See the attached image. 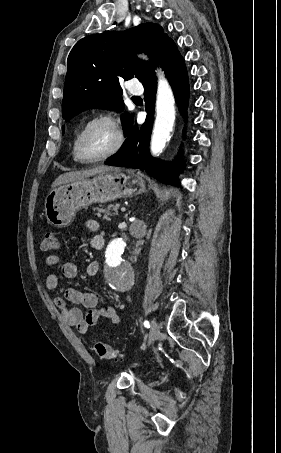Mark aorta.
<instances>
[{
    "label": "aorta",
    "instance_id": "1",
    "mask_svg": "<svg viewBox=\"0 0 281 453\" xmlns=\"http://www.w3.org/2000/svg\"><path fill=\"white\" fill-rule=\"evenodd\" d=\"M175 99L172 89L164 76L158 80L156 96V118L154 122L150 150L155 156L162 153L166 142L170 140V133L175 122ZM141 229L138 227L131 232V236H138ZM128 240L123 238L113 239L105 252L108 266L107 282L118 292L129 290L134 284V272L130 264L125 263L122 254L127 247Z\"/></svg>",
    "mask_w": 281,
    "mask_h": 453
}]
</instances>
